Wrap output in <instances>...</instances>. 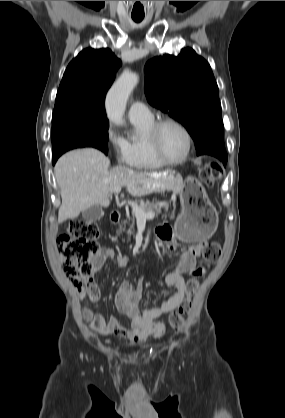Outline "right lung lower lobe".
I'll list each match as a JSON object with an SVG mask.
<instances>
[{"label": "right lung lower lobe", "mask_w": 285, "mask_h": 418, "mask_svg": "<svg viewBox=\"0 0 285 418\" xmlns=\"http://www.w3.org/2000/svg\"><path fill=\"white\" fill-rule=\"evenodd\" d=\"M58 158H59V157L53 158V159H52V163H53V164H55V162L57 161V159H58Z\"/></svg>", "instance_id": "1"}]
</instances>
